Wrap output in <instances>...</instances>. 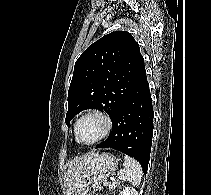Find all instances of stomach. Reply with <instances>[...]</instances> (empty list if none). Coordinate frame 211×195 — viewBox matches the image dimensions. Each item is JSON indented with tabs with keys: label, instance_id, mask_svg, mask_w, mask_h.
I'll use <instances>...</instances> for the list:
<instances>
[{
	"label": "stomach",
	"instance_id": "1",
	"mask_svg": "<svg viewBox=\"0 0 211 195\" xmlns=\"http://www.w3.org/2000/svg\"><path fill=\"white\" fill-rule=\"evenodd\" d=\"M117 158L109 153L98 154L88 165V172L84 180L80 195H92L91 188L105 181L117 169Z\"/></svg>",
	"mask_w": 211,
	"mask_h": 195
}]
</instances>
